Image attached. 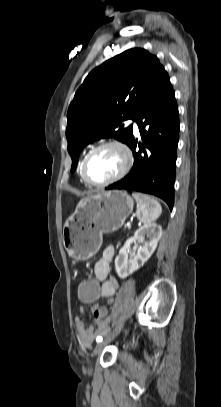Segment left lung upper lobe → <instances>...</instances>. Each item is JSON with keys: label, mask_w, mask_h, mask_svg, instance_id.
I'll return each mask as SVG.
<instances>
[{"label": "left lung upper lobe", "mask_w": 221, "mask_h": 407, "mask_svg": "<svg viewBox=\"0 0 221 407\" xmlns=\"http://www.w3.org/2000/svg\"><path fill=\"white\" fill-rule=\"evenodd\" d=\"M167 72L158 58L133 48L92 70L77 90L67 113L66 137L74 172L81 150L89 143L114 137L129 144L132 125Z\"/></svg>", "instance_id": "obj_1"}]
</instances>
